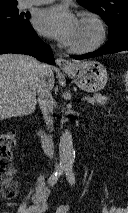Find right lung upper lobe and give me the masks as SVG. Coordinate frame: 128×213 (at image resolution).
<instances>
[{"label":"right lung upper lobe","mask_w":128,"mask_h":213,"mask_svg":"<svg viewBox=\"0 0 128 213\" xmlns=\"http://www.w3.org/2000/svg\"><path fill=\"white\" fill-rule=\"evenodd\" d=\"M18 4L17 0H0V6H9Z\"/></svg>","instance_id":"cb5924a9"}]
</instances>
